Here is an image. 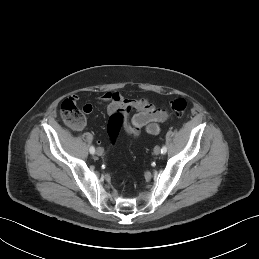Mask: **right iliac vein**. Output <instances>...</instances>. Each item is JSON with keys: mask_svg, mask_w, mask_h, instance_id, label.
Listing matches in <instances>:
<instances>
[{"mask_svg": "<svg viewBox=\"0 0 259 259\" xmlns=\"http://www.w3.org/2000/svg\"><path fill=\"white\" fill-rule=\"evenodd\" d=\"M103 153H104V151H103V149L102 148H97V150H96V154L98 155V156H102L103 155Z\"/></svg>", "mask_w": 259, "mask_h": 259, "instance_id": "right-iliac-vein-1", "label": "right iliac vein"}]
</instances>
